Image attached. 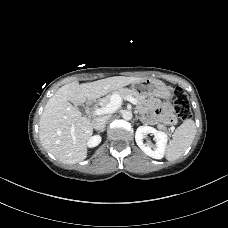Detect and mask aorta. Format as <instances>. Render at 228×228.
Here are the masks:
<instances>
[{"instance_id": "762f6f07", "label": "aorta", "mask_w": 228, "mask_h": 228, "mask_svg": "<svg viewBox=\"0 0 228 228\" xmlns=\"http://www.w3.org/2000/svg\"><path fill=\"white\" fill-rule=\"evenodd\" d=\"M132 112L131 111H129V110H124L123 112H122V117H123V119L124 120H131L132 119Z\"/></svg>"}]
</instances>
